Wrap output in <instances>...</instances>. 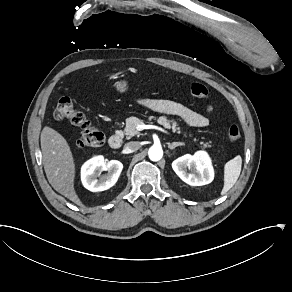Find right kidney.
<instances>
[{
	"mask_svg": "<svg viewBox=\"0 0 292 292\" xmlns=\"http://www.w3.org/2000/svg\"><path fill=\"white\" fill-rule=\"evenodd\" d=\"M123 169V164L117 160L104 163L103 157H96L86 162L82 167V182L86 189L91 192L108 190L117 182ZM108 173L100 178L101 172Z\"/></svg>",
	"mask_w": 292,
	"mask_h": 292,
	"instance_id": "right-kidney-1",
	"label": "right kidney"
}]
</instances>
